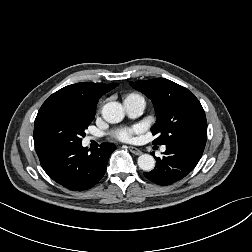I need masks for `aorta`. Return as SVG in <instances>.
Listing matches in <instances>:
<instances>
[{
    "label": "aorta",
    "mask_w": 252,
    "mask_h": 252,
    "mask_svg": "<svg viewBox=\"0 0 252 252\" xmlns=\"http://www.w3.org/2000/svg\"><path fill=\"white\" fill-rule=\"evenodd\" d=\"M102 116L109 123H119L125 116L124 108L119 102H108L102 108ZM137 163L143 171H151L155 167V159L150 154L140 155Z\"/></svg>",
    "instance_id": "aorta-1"
}]
</instances>
